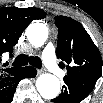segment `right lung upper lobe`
Returning <instances> with one entry per match:
<instances>
[{"label":"right lung upper lobe","mask_w":103,"mask_h":103,"mask_svg":"<svg viewBox=\"0 0 103 103\" xmlns=\"http://www.w3.org/2000/svg\"><path fill=\"white\" fill-rule=\"evenodd\" d=\"M46 13L39 8H0V62L5 52H12L13 46L25 28L36 19L44 18ZM0 66V80L18 74L21 68Z\"/></svg>","instance_id":"cb5924a9"}]
</instances>
